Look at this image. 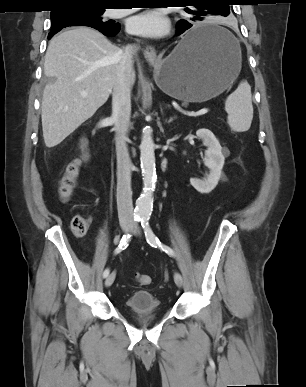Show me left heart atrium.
<instances>
[{
  "label": "left heart atrium",
  "mask_w": 306,
  "mask_h": 387,
  "mask_svg": "<svg viewBox=\"0 0 306 387\" xmlns=\"http://www.w3.org/2000/svg\"><path fill=\"white\" fill-rule=\"evenodd\" d=\"M168 19L158 11H145L130 18L127 29L130 33L145 37H161L168 33Z\"/></svg>",
  "instance_id": "39dd6f15"
}]
</instances>
